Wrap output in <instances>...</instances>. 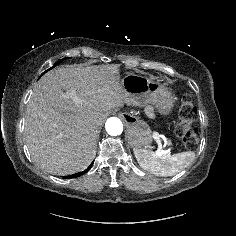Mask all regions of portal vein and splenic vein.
Masks as SVG:
<instances>
[{"mask_svg": "<svg viewBox=\"0 0 236 236\" xmlns=\"http://www.w3.org/2000/svg\"><path fill=\"white\" fill-rule=\"evenodd\" d=\"M66 94L69 98L73 99L76 104L79 103V99L76 96L75 91H70V92H67ZM153 138L158 144H161L162 142L167 144V141H166L165 137L162 136V135H159L158 133H154ZM168 152H170V151L169 150H165V151L163 150V153H168Z\"/></svg>", "mask_w": 236, "mask_h": 236, "instance_id": "obj_1", "label": "portal vein and splenic vein"}]
</instances>
